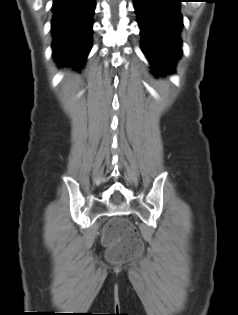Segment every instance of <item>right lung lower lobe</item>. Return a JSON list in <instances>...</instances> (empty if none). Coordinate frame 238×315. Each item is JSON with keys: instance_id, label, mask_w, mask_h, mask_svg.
<instances>
[{"instance_id": "1", "label": "right lung lower lobe", "mask_w": 238, "mask_h": 315, "mask_svg": "<svg viewBox=\"0 0 238 315\" xmlns=\"http://www.w3.org/2000/svg\"><path fill=\"white\" fill-rule=\"evenodd\" d=\"M95 0H53V58L62 66L81 69L92 48Z\"/></svg>"}]
</instances>
